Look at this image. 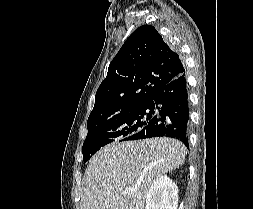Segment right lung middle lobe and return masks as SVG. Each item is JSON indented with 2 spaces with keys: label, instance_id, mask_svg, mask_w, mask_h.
Segmentation results:
<instances>
[{
  "label": "right lung middle lobe",
  "instance_id": "right-lung-middle-lobe-1",
  "mask_svg": "<svg viewBox=\"0 0 253 209\" xmlns=\"http://www.w3.org/2000/svg\"><path fill=\"white\" fill-rule=\"evenodd\" d=\"M149 104H141L123 112L88 119V135L83 143V160L88 161L101 147L113 141H126L140 132L153 117Z\"/></svg>",
  "mask_w": 253,
  "mask_h": 209
}]
</instances>
